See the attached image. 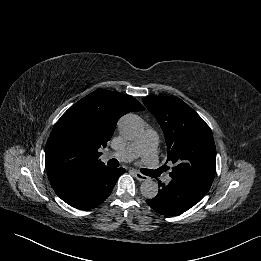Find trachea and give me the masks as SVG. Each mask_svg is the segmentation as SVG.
<instances>
[{
    "label": "trachea",
    "instance_id": "1",
    "mask_svg": "<svg viewBox=\"0 0 261 261\" xmlns=\"http://www.w3.org/2000/svg\"><path fill=\"white\" fill-rule=\"evenodd\" d=\"M108 166L111 167H118L119 166V162L116 159H111L108 161ZM141 172L145 175L151 176L153 171L149 170V169H141Z\"/></svg>",
    "mask_w": 261,
    "mask_h": 261
}]
</instances>
